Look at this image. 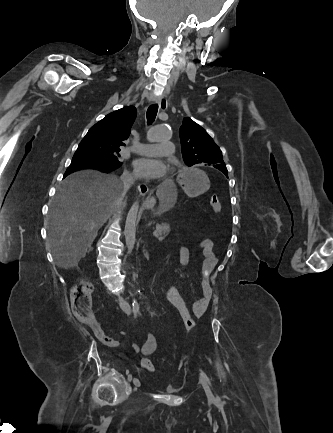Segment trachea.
I'll use <instances>...</instances> for the list:
<instances>
[{
  "label": "trachea",
  "mask_w": 333,
  "mask_h": 433,
  "mask_svg": "<svg viewBox=\"0 0 333 433\" xmlns=\"http://www.w3.org/2000/svg\"><path fill=\"white\" fill-rule=\"evenodd\" d=\"M158 112V104H152L147 109V123L150 125L154 122Z\"/></svg>",
  "instance_id": "3493384b"
}]
</instances>
